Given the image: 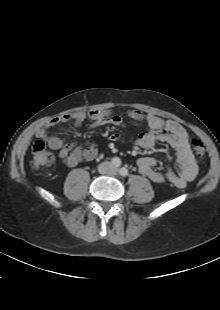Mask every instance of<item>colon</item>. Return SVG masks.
I'll return each instance as SVG.
<instances>
[{"label":"colon","instance_id":"colon-1","mask_svg":"<svg viewBox=\"0 0 220 310\" xmlns=\"http://www.w3.org/2000/svg\"><path fill=\"white\" fill-rule=\"evenodd\" d=\"M192 148L194 153L198 157H202L205 154L204 144L199 139L192 141ZM55 161V157L50 152L44 143V141H36L31 149L30 166L34 170H40L50 167Z\"/></svg>","mask_w":220,"mask_h":310}]
</instances>
